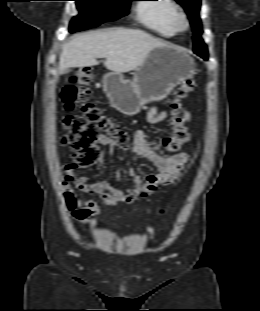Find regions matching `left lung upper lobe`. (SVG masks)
<instances>
[{"instance_id": "obj_1", "label": "left lung upper lobe", "mask_w": 260, "mask_h": 311, "mask_svg": "<svg viewBox=\"0 0 260 311\" xmlns=\"http://www.w3.org/2000/svg\"><path fill=\"white\" fill-rule=\"evenodd\" d=\"M176 1L185 8L190 18V23L193 26L194 52L208 54L207 47L201 38L202 33L201 21L198 15L201 0H176Z\"/></svg>"}]
</instances>
